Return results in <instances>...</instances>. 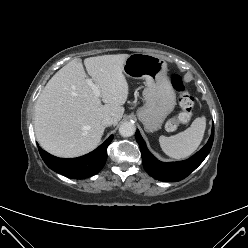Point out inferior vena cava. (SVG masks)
Wrapping results in <instances>:
<instances>
[{
    "label": "inferior vena cava",
    "mask_w": 248,
    "mask_h": 248,
    "mask_svg": "<svg viewBox=\"0 0 248 248\" xmlns=\"http://www.w3.org/2000/svg\"><path fill=\"white\" fill-rule=\"evenodd\" d=\"M101 123L103 126H111L114 123V119L111 116H105Z\"/></svg>",
    "instance_id": "602c4592"
}]
</instances>
